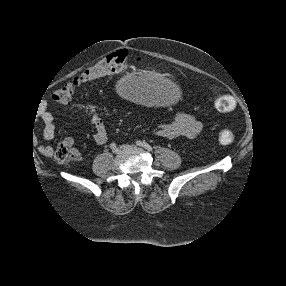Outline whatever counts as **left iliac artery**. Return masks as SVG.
<instances>
[{
  "mask_svg": "<svg viewBox=\"0 0 286 286\" xmlns=\"http://www.w3.org/2000/svg\"><path fill=\"white\" fill-rule=\"evenodd\" d=\"M135 143H136V145L141 146V147L145 148L148 151H152V147L148 143H146L144 141H140L139 140V141H136Z\"/></svg>",
  "mask_w": 286,
  "mask_h": 286,
  "instance_id": "44dca946",
  "label": "left iliac artery"
}]
</instances>
